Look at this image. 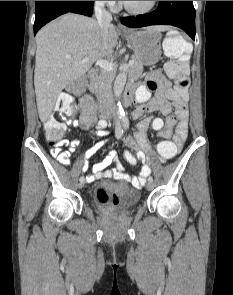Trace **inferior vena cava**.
I'll use <instances>...</instances> for the list:
<instances>
[{"label":"inferior vena cava","instance_id":"1","mask_svg":"<svg viewBox=\"0 0 233 295\" xmlns=\"http://www.w3.org/2000/svg\"><path fill=\"white\" fill-rule=\"evenodd\" d=\"M94 11H95V17L97 19L98 25L103 30L104 35L106 36L108 28L111 25L112 15L108 11H106L105 1H95ZM112 52H113L112 49H110L109 54H112ZM106 105L109 108V110L113 114H115L116 105L114 102V95L111 91L108 93Z\"/></svg>","mask_w":233,"mask_h":295}]
</instances>
